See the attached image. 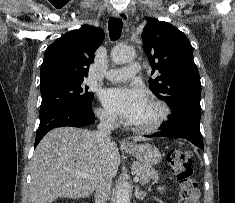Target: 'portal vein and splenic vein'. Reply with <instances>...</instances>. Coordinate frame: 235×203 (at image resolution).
Returning <instances> with one entry per match:
<instances>
[{
  "label": "portal vein and splenic vein",
  "instance_id": "1",
  "mask_svg": "<svg viewBox=\"0 0 235 203\" xmlns=\"http://www.w3.org/2000/svg\"><path fill=\"white\" fill-rule=\"evenodd\" d=\"M73 174H74L75 176L81 177V178L87 177V174H86V173H83V172H74ZM138 180H139V177L136 175V176L134 177V181L137 182Z\"/></svg>",
  "mask_w": 235,
  "mask_h": 203
}]
</instances>
